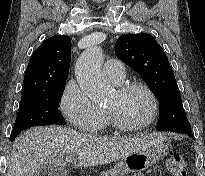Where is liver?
Instances as JSON below:
<instances>
[{
  "instance_id": "1",
  "label": "liver",
  "mask_w": 205,
  "mask_h": 176,
  "mask_svg": "<svg viewBox=\"0 0 205 176\" xmlns=\"http://www.w3.org/2000/svg\"><path fill=\"white\" fill-rule=\"evenodd\" d=\"M161 134L136 139L97 137L66 127H36L18 136L11 149L7 176H35L43 164L66 167L63 158L77 155L78 167L98 166L162 143Z\"/></svg>"
}]
</instances>
